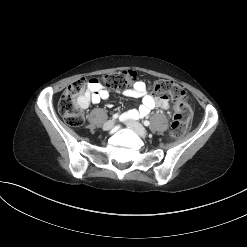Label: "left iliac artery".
Masks as SVG:
<instances>
[{
	"instance_id": "obj_1",
	"label": "left iliac artery",
	"mask_w": 247,
	"mask_h": 247,
	"mask_svg": "<svg viewBox=\"0 0 247 247\" xmlns=\"http://www.w3.org/2000/svg\"><path fill=\"white\" fill-rule=\"evenodd\" d=\"M143 123H144L145 126H149L150 125V122L148 120H145Z\"/></svg>"
}]
</instances>
